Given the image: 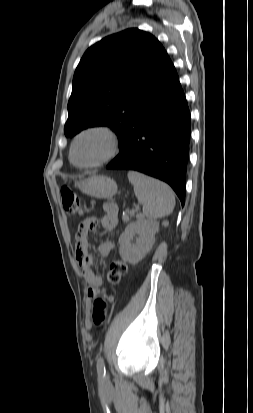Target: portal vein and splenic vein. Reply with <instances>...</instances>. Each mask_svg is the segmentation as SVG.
Returning a JSON list of instances; mask_svg holds the SVG:
<instances>
[{
  "label": "portal vein and splenic vein",
  "mask_w": 253,
  "mask_h": 413,
  "mask_svg": "<svg viewBox=\"0 0 253 413\" xmlns=\"http://www.w3.org/2000/svg\"><path fill=\"white\" fill-rule=\"evenodd\" d=\"M135 213V211H132V214H134Z\"/></svg>",
  "instance_id": "1"
}]
</instances>
